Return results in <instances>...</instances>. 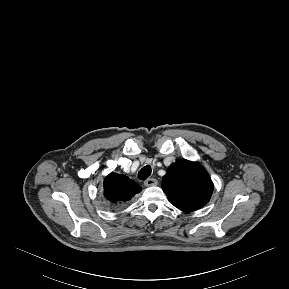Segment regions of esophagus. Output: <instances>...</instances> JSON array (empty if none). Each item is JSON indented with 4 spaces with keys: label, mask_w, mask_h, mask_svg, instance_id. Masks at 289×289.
<instances>
[{
    "label": "esophagus",
    "mask_w": 289,
    "mask_h": 289,
    "mask_svg": "<svg viewBox=\"0 0 289 289\" xmlns=\"http://www.w3.org/2000/svg\"><path fill=\"white\" fill-rule=\"evenodd\" d=\"M158 182L156 179L154 178H148L147 180H145L144 185L145 186H154L156 185Z\"/></svg>",
    "instance_id": "34e87169"
}]
</instances>
